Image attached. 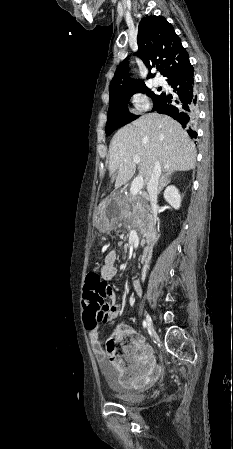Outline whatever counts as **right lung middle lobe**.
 <instances>
[{
  "instance_id": "1",
  "label": "right lung middle lobe",
  "mask_w": 233,
  "mask_h": 449,
  "mask_svg": "<svg viewBox=\"0 0 233 449\" xmlns=\"http://www.w3.org/2000/svg\"><path fill=\"white\" fill-rule=\"evenodd\" d=\"M137 92L146 93L148 96H150L154 103V108L163 95V93L155 94L154 92H151L146 86H144L131 92L123 93L110 98L108 119L106 123L107 136L117 128L122 127L137 118L136 115L131 114L127 109V103L130 97Z\"/></svg>"
}]
</instances>
